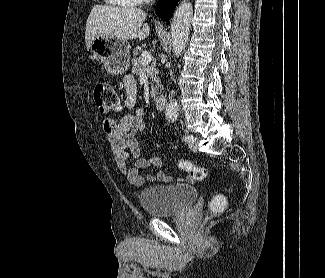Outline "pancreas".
I'll list each match as a JSON object with an SVG mask.
<instances>
[{
  "instance_id": "obj_1",
  "label": "pancreas",
  "mask_w": 325,
  "mask_h": 278,
  "mask_svg": "<svg viewBox=\"0 0 325 278\" xmlns=\"http://www.w3.org/2000/svg\"><path fill=\"white\" fill-rule=\"evenodd\" d=\"M132 73L135 75H140L144 71L148 78L152 81L151 84V96L155 97L156 91L161 87L160 78L157 76L158 69L154 64L143 66L141 59L137 58L135 55L132 58Z\"/></svg>"
}]
</instances>
